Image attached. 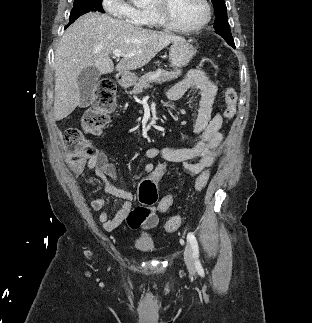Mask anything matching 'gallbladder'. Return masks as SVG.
I'll return each mask as SVG.
<instances>
[{"label": "gallbladder", "mask_w": 312, "mask_h": 323, "mask_svg": "<svg viewBox=\"0 0 312 323\" xmlns=\"http://www.w3.org/2000/svg\"><path fill=\"white\" fill-rule=\"evenodd\" d=\"M101 76L100 70L94 68V66H89V68H84L78 76V88L80 92V108H85L89 106L92 96L96 90L97 82Z\"/></svg>", "instance_id": "bac80fb5"}]
</instances>
